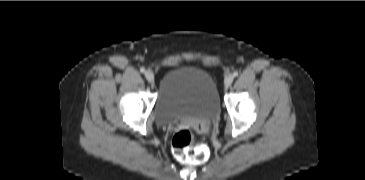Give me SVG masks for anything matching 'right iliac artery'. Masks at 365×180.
Wrapping results in <instances>:
<instances>
[{"mask_svg":"<svg viewBox=\"0 0 365 180\" xmlns=\"http://www.w3.org/2000/svg\"><path fill=\"white\" fill-rule=\"evenodd\" d=\"M140 72H141V73H144V72H145V68L141 67V68H140Z\"/></svg>","mask_w":365,"mask_h":180,"instance_id":"obj_1","label":"right iliac artery"}]
</instances>
